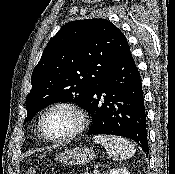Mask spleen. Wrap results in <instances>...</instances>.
Here are the masks:
<instances>
[{
	"mask_svg": "<svg viewBox=\"0 0 175 174\" xmlns=\"http://www.w3.org/2000/svg\"><path fill=\"white\" fill-rule=\"evenodd\" d=\"M94 143L102 145L107 154L114 161L126 160L132 157L136 150L133 143L122 137L113 135H96L93 137Z\"/></svg>",
	"mask_w": 175,
	"mask_h": 174,
	"instance_id": "spleen-1",
	"label": "spleen"
}]
</instances>
